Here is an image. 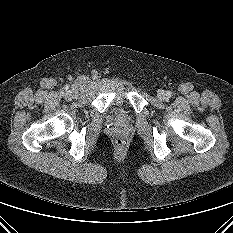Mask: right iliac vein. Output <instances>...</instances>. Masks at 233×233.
Here are the masks:
<instances>
[{"instance_id":"right-iliac-vein-1","label":"right iliac vein","mask_w":233,"mask_h":233,"mask_svg":"<svg viewBox=\"0 0 233 233\" xmlns=\"http://www.w3.org/2000/svg\"><path fill=\"white\" fill-rule=\"evenodd\" d=\"M74 97V94H73V92L72 91H67L66 93H65V99L66 100H71L72 98Z\"/></svg>"}]
</instances>
